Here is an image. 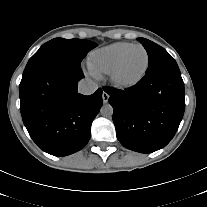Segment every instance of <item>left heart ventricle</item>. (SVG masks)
Segmentation results:
<instances>
[{
  "label": "left heart ventricle",
  "instance_id": "left-heart-ventricle-1",
  "mask_svg": "<svg viewBox=\"0 0 207 207\" xmlns=\"http://www.w3.org/2000/svg\"><path fill=\"white\" fill-rule=\"evenodd\" d=\"M145 53L137 47L134 48L125 59L120 71L119 78L123 80H131L137 77L145 65Z\"/></svg>",
  "mask_w": 207,
  "mask_h": 207
}]
</instances>
